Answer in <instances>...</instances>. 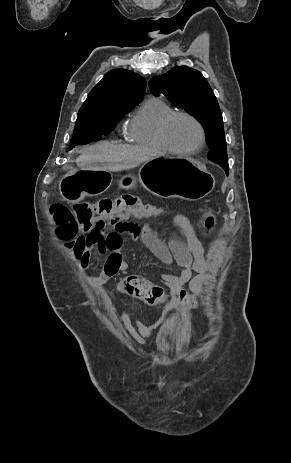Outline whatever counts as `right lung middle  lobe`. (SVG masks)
Wrapping results in <instances>:
<instances>
[{
    "label": "right lung middle lobe",
    "mask_w": 291,
    "mask_h": 463,
    "mask_svg": "<svg viewBox=\"0 0 291 463\" xmlns=\"http://www.w3.org/2000/svg\"><path fill=\"white\" fill-rule=\"evenodd\" d=\"M135 105H103L94 109L79 110L70 150L79 144H88L108 135Z\"/></svg>",
    "instance_id": "obj_1"
}]
</instances>
